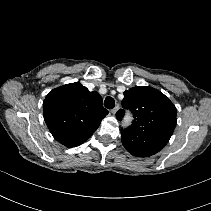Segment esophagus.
Wrapping results in <instances>:
<instances>
[{
	"label": "esophagus",
	"instance_id": "34e87169",
	"mask_svg": "<svg viewBox=\"0 0 211 211\" xmlns=\"http://www.w3.org/2000/svg\"><path fill=\"white\" fill-rule=\"evenodd\" d=\"M117 111H118V106H116L115 108H113V109L111 110V113H112L113 115H115Z\"/></svg>",
	"mask_w": 211,
	"mask_h": 211
}]
</instances>
